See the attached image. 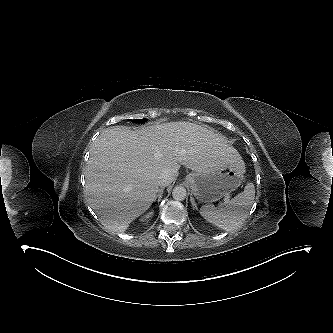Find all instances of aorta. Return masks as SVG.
I'll list each match as a JSON object with an SVG mask.
<instances>
[{"label":"aorta","instance_id":"aorta-1","mask_svg":"<svg viewBox=\"0 0 333 333\" xmlns=\"http://www.w3.org/2000/svg\"><path fill=\"white\" fill-rule=\"evenodd\" d=\"M187 192L183 186H176L172 191L173 199L183 201L186 198Z\"/></svg>","mask_w":333,"mask_h":333}]
</instances>
